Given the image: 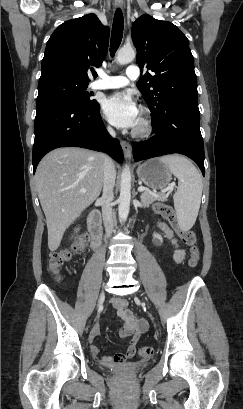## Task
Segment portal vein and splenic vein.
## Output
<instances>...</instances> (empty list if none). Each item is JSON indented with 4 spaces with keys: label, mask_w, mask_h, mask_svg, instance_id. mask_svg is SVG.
Wrapping results in <instances>:
<instances>
[{
    "label": "portal vein and splenic vein",
    "mask_w": 243,
    "mask_h": 409,
    "mask_svg": "<svg viewBox=\"0 0 243 409\" xmlns=\"http://www.w3.org/2000/svg\"><path fill=\"white\" fill-rule=\"evenodd\" d=\"M174 186H175V183L171 184L170 187L173 188ZM145 190H147V189L144 188V187H142V186L138 188V191H139V192H143V191H145ZM81 193H86V190H85V189L81 190Z\"/></svg>",
    "instance_id": "18ae733b"
}]
</instances>
